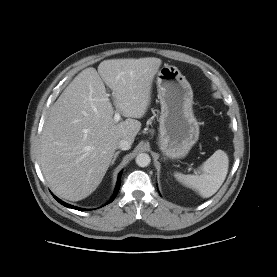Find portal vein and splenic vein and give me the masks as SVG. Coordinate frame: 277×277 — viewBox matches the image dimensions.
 Here are the masks:
<instances>
[{
    "label": "portal vein and splenic vein",
    "instance_id": "18ae733b",
    "mask_svg": "<svg viewBox=\"0 0 277 277\" xmlns=\"http://www.w3.org/2000/svg\"><path fill=\"white\" fill-rule=\"evenodd\" d=\"M120 119H121L120 113H119V112H116L115 115H114V120H115L116 122H118V121H120Z\"/></svg>",
    "mask_w": 277,
    "mask_h": 277
}]
</instances>
